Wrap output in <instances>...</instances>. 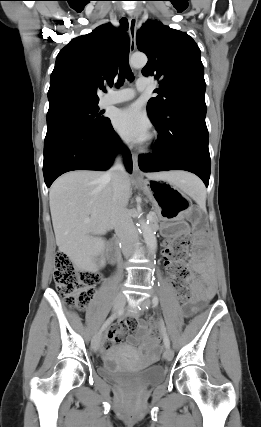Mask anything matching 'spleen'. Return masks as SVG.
Masks as SVG:
<instances>
[{
	"mask_svg": "<svg viewBox=\"0 0 261 427\" xmlns=\"http://www.w3.org/2000/svg\"><path fill=\"white\" fill-rule=\"evenodd\" d=\"M183 190L190 195L199 205L205 206L206 190L202 182L195 176L188 174L184 179Z\"/></svg>",
	"mask_w": 261,
	"mask_h": 427,
	"instance_id": "1",
	"label": "spleen"
}]
</instances>
